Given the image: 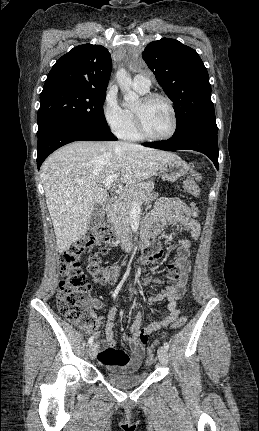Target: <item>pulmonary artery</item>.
Instances as JSON below:
<instances>
[{
    "label": "pulmonary artery",
    "mask_w": 259,
    "mask_h": 431,
    "mask_svg": "<svg viewBox=\"0 0 259 431\" xmlns=\"http://www.w3.org/2000/svg\"><path fill=\"white\" fill-rule=\"evenodd\" d=\"M132 85L135 89L146 92L150 89L151 81L147 75L138 74L133 78Z\"/></svg>",
    "instance_id": "pulmonary-artery-1"
}]
</instances>
